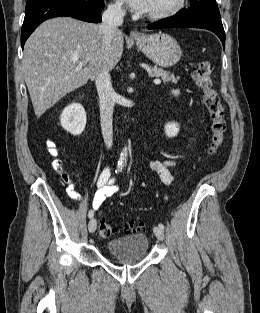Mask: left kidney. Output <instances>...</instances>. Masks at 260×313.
<instances>
[{"label":"left kidney","mask_w":260,"mask_h":313,"mask_svg":"<svg viewBox=\"0 0 260 313\" xmlns=\"http://www.w3.org/2000/svg\"><path fill=\"white\" fill-rule=\"evenodd\" d=\"M179 132V125L175 122H169L165 125V134L168 137H175Z\"/></svg>","instance_id":"5707ae66"}]
</instances>
